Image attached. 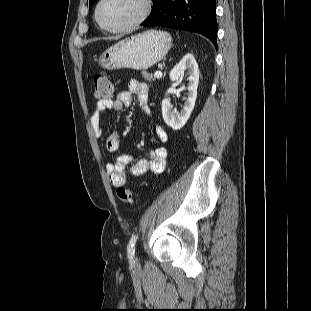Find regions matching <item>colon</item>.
Returning a JSON list of instances; mask_svg holds the SVG:
<instances>
[{
	"label": "colon",
	"instance_id": "obj_1",
	"mask_svg": "<svg viewBox=\"0 0 311 311\" xmlns=\"http://www.w3.org/2000/svg\"><path fill=\"white\" fill-rule=\"evenodd\" d=\"M113 87L108 76L104 72L95 74L93 78V94L94 97L99 101L109 100L112 97ZM118 199L127 205L132 204L133 194L132 192L124 187L119 186L116 190Z\"/></svg>",
	"mask_w": 311,
	"mask_h": 311
}]
</instances>
